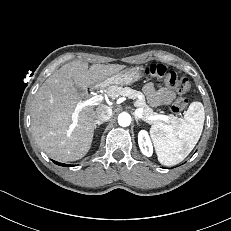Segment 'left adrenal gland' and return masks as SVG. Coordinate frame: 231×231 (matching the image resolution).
Wrapping results in <instances>:
<instances>
[{"label":"left adrenal gland","mask_w":231,"mask_h":231,"mask_svg":"<svg viewBox=\"0 0 231 231\" xmlns=\"http://www.w3.org/2000/svg\"><path fill=\"white\" fill-rule=\"evenodd\" d=\"M135 120L137 122V125H139V121H141L137 116H135Z\"/></svg>","instance_id":"a2214340"}]
</instances>
